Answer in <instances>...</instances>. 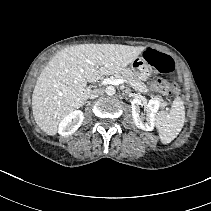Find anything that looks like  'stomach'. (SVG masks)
Segmentation results:
<instances>
[{"label":"stomach","instance_id":"1","mask_svg":"<svg viewBox=\"0 0 211 211\" xmlns=\"http://www.w3.org/2000/svg\"><path fill=\"white\" fill-rule=\"evenodd\" d=\"M128 69H130L135 77L140 81H146L150 76L151 68L143 55L135 58Z\"/></svg>","mask_w":211,"mask_h":211}]
</instances>
